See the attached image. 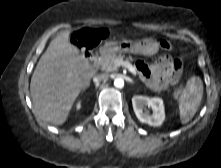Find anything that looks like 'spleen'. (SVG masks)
<instances>
[{
	"mask_svg": "<svg viewBox=\"0 0 221 168\" xmlns=\"http://www.w3.org/2000/svg\"><path fill=\"white\" fill-rule=\"evenodd\" d=\"M203 83L200 77H191L186 84L180 99L179 111L182 124L188 123L197 112L202 99Z\"/></svg>",
	"mask_w": 221,
	"mask_h": 168,
	"instance_id": "1",
	"label": "spleen"
}]
</instances>
